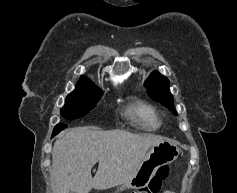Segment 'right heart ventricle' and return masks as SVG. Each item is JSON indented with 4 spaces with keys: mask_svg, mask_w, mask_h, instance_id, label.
<instances>
[{
    "mask_svg": "<svg viewBox=\"0 0 237 193\" xmlns=\"http://www.w3.org/2000/svg\"><path fill=\"white\" fill-rule=\"evenodd\" d=\"M127 116L145 130H156L161 121L156 110L143 101H136L126 109Z\"/></svg>",
    "mask_w": 237,
    "mask_h": 193,
    "instance_id": "e07e8e85",
    "label": "right heart ventricle"
}]
</instances>
